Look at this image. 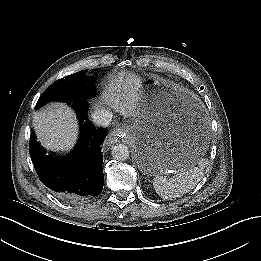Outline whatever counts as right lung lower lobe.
Returning a JSON list of instances; mask_svg holds the SVG:
<instances>
[{
    "instance_id": "98d812e1",
    "label": "right lung lower lobe",
    "mask_w": 261,
    "mask_h": 261,
    "mask_svg": "<svg viewBox=\"0 0 261 261\" xmlns=\"http://www.w3.org/2000/svg\"><path fill=\"white\" fill-rule=\"evenodd\" d=\"M81 122L80 138L74 149L62 157L46 155L35 136L30 138V156L41 182L59 198L79 202L96 196L103 189L101 145L107 129H94L87 119L86 101L73 103Z\"/></svg>"
}]
</instances>
